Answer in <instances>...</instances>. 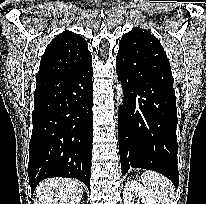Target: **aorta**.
<instances>
[{
	"label": "aorta",
	"instance_id": "762f6f07",
	"mask_svg": "<svg viewBox=\"0 0 206 204\" xmlns=\"http://www.w3.org/2000/svg\"><path fill=\"white\" fill-rule=\"evenodd\" d=\"M117 89V102L119 105H123L124 103V92H123V86L122 83L119 82L116 86Z\"/></svg>",
	"mask_w": 206,
	"mask_h": 204
}]
</instances>
